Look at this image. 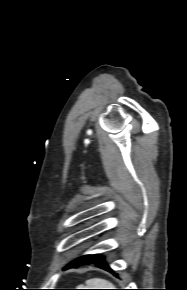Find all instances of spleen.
<instances>
[{
  "instance_id": "3e777b00",
  "label": "spleen",
  "mask_w": 187,
  "mask_h": 290,
  "mask_svg": "<svg viewBox=\"0 0 187 290\" xmlns=\"http://www.w3.org/2000/svg\"><path fill=\"white\" fill-rule=\"evenodd\" d=\"M86 285L91 287L89 289H114V285L101 278H93L86 281Z\"/></svg>"
}]
</instances>
